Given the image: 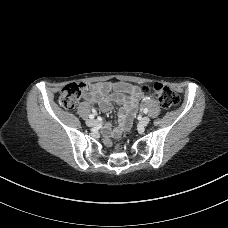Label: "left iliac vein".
<instances>
[{"label": "left iliac vein", "mask_w": 228, "mask_h": 228, "mask_svg": "<svg viewBox=\"0 0 228 228\" xmlns=\"http://www.w3.org/2000/svg\"><path fill=\"white\" fill-rule=\"evenodd\" d=\"M149 122H150V118L148 116H145L141 119L140 123L142 126H147Z\"/></svg>", "instance_id": "obj_1"}]
</instances>
